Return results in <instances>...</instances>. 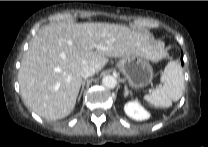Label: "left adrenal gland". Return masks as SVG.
<instances>
[{
  "label": "left adrenal gland",
  "mask_w": 208,
  "mask_h": 147,
  "mask_svg": "<svg viewBox=\"0 0 208 147\" xmlns=\"http://www.w3.org/2000/svg\"><path fill=\"white\" fill-rule=\"evenodd\" d=\"M124 96L127 97L129 94L132 95V92L128 90L127 85L124 86Z\"/></svg>",
  "instance_id": "1"
}]
</instances>
